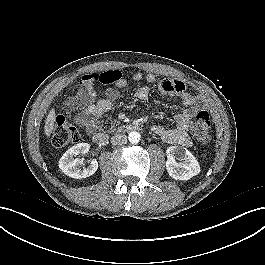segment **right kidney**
<instances>
[{
  "label": "right kidney",
  "mask_w": 265,
  "mask_h": 265,
  "mask_svg": "<svg viewBox=\"0 0 265 265\" xmlns=\"http://www.w3.org/2000/svg\"><path fill=\"white\" fill-rule=\"evenodd\" d=\"M88 143H79L67 150L59 161V168L69 177L82 179L93 175L98 169V162L95 159L90 161L89 166L81 169L83 159L74 158L79 154H85L89 151Z\"/></svg>",
  "instance_id": "ca27d5eb"
}]
</instances>
